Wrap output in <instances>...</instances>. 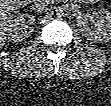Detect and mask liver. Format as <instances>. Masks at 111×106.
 <instances>
[{
  "mask_svg": "<svg viewBox=\"0 0 111 106\" xmlns=\"http://www.w3.org/2000/svg\"><path fill=\"white\" fill-rule=\"evenodd\" d=\"M22 5L20 0H1L0 1V19H1V33L0 44H5L6 32L9 29V22L19 12V8Z\"/></svg>",
  "mask_w": 111,
  "mask_h": 106,
  "instance_id": "6515ba94",
  "label": "liver"
}]
</instances>
